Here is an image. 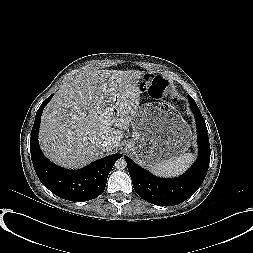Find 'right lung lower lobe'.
Masks as SVG:
<instances>
[{
  "label": "right lung lower lobe",
  "instance_id": "obj_1",
  "mask_svg": "<svg viewBox=\"0 0 253 253\" xmlns=\"http://www.w3.org/2000/svg\"><path fill=\"white\" fill-rule=\"evenodd\" d=\"M53 97L49 96L39 107L31 131V159L41 183L55 195L70 201H89L101 195L105 189L107 177L121 154H113L78 170L61 168L50 162L41 152L38 143V131L44 107Z\"/></svg>",
  "mask_w": 253,
  "mask_h": 253
}]
</instances>
